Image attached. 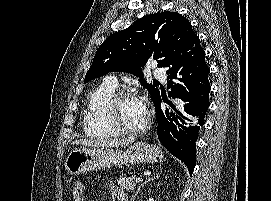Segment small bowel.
I'll return each mask as SVG.
<instances>
[{"label": "small bowel", "instance_id": "1", "mask_svg": "<svg viewBox=\"0 0 271 201\" xmlns=\"http://www.w3.org/2000/svg\"><path fill=\"white\" fill-rule=\"evenodd\" d=\"M110 191L116 198L119 194L124 193L123 190L117 184L114 183L110 185Z\"/></svg>", "mask_w": 271, "mask_h": 201}]
</instances>
